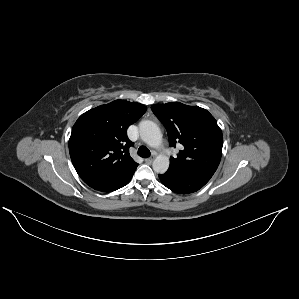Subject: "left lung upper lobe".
Here are the masks:
<instances>
[{"instance_id":"left-lung-upper-lobe-1","label":"left lung upper lobe","mask_w":299,"mask_h":299,"mask_svg":"<svg viewBox=\"0 0 299 299\" xmlns=\"http://www.w3.org/2000/svg\"><path fill=\"white\" fill-rule=\"evenodd\" d=\"M153 113L165 126L169 143L183 145L176 158H170L167 172L174 174L203 173L213 175L220 163L222 131L215 118L203 108L179 102L155 104Z\"/></svg>"}]
</instances>
